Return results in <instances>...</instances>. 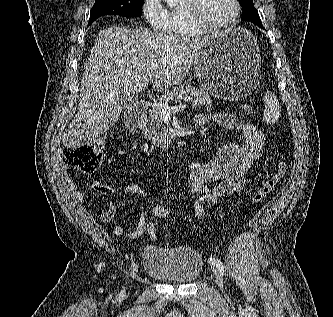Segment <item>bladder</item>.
<instances>
[{
    "label": "bladder",
    "mask_w": 333,
    "mask_h": 317,
    "mask_svg": "<svg viewBox=\"0 0 333 317\" xmlns=\"http://www.w3.org/2000/svg\"><path fill=\"white\" fill-rule=\"evenodd\" d=\"M145 273L173 284H190L202 274V256L187 247H160L148 245L142 253Z\"/></svg>",
    "instance_id": "obj_1"
}]
</instances>
